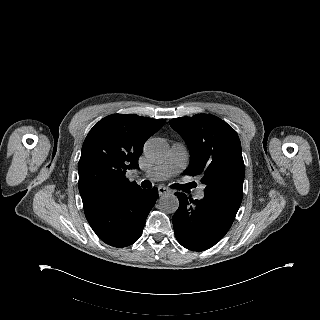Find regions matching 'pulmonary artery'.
I'll use <instances>...</instances> for the list:
<instances>
[{
	"mask_svg": "<svg viewBox=\"0 0 320 320\" xmlns=\"http://www.w3.org/2000/svg\"><path fill=\"white\" fill-rule=\"evenodd\" d=\"M186 160V147L181 143H174L166 160L163 163L150 168L143 173L142 176L152 181L165 180L168 177L177 174L184 167ZM195 197L197 199H203V190H197Z\"/></svg>",
	"mask_w": 320,
	"mask_h": 320,
	"instance_id": "1",
	"label": "pulmonary artery"
}]
</instances>
